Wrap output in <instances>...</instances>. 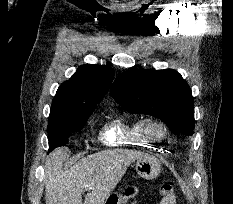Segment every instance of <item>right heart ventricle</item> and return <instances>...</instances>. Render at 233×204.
Returning a JSON list of instances; mask_svg holds the SVG:
<instances>
[{
  "label": "right heart ventricle",
  "instance_id": "right-heart-ventricle-1",
  "mask_svg": "<svg viewBox=\"0 0 233 204\" xmlns=\"http://www.w3.org/2000/svg\"><path fill=\"white\" fill-rule=\"evenodd\" d=\"M141 121L121 114L112 115L101 127L98 138L107 146H147L151 142L143 135Z\"/></svg>",
  "mask_w": 233,
  "mask_h": 204
}]
</instances>
